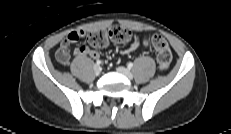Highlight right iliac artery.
Returning <instances> with one entry per match:
<instances>
[{
  "label": "right iliac artery",
  "mask_w": 231,
  "mask_h": 134,
  "mask_svg": "<svg viewBox=\"0 0 231 134\" xmlns=\"http://www.w3.org/2000/svg\"><path fill=\"white\" fill-rule=\"evenodd\" d=\"M96 64H97V65H100V64H101V61H100V60H97V61H96Z\"/></svg>",
  "instance_id": "1"
}]
</instances>
